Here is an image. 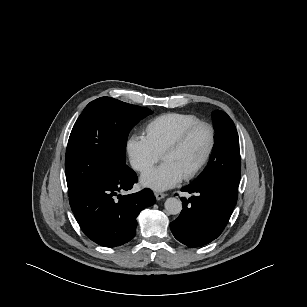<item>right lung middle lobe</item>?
Instances as JSON below:
<instances>
[{
    "label": "right lung middle lobe",
    "instance_id": "1",
    "mask_svg": "<svg viewBox=\"0 0 307 307\" xmlns=\"http://www.w3.org/2000/svg\"><path fill=\"white\" fill-rule=\"evenodd\" d=\"M151 110L111 97L90 102L71 131L65 158L69 197L126 168L130 130Z\"/></svg>",
    "mask_w": 307,
    "mask_h": 307
}]
</instances>
